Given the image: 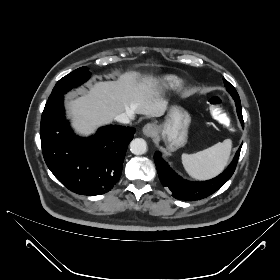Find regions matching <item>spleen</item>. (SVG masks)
<instances>
[{
    "instance_id": "spleen-1",
    "label": "spleen",
    "mask_w": 280,
    "mask_h": 280,
    "mask_svg": "<svg viewBox=\"0 0 280 280\" xmlns=\"http://www.w3.org/2000/svg\"><path fill=\"white\" fill-rule=\"evenodd\" d=\"M232 148V141L225 139L215 145L193 154H182L186 172L195 179H211L226 167Z\"/></svg>"
}]
</instances>
